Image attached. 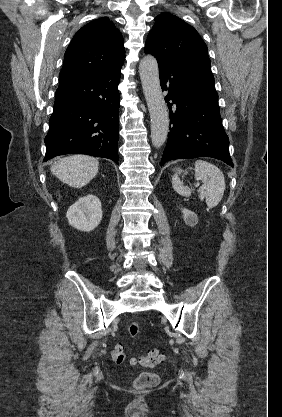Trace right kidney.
Returning <instances> with one entry per match:
<instances>
[{
  "instance_id": "right-kidney-1",
  "label": "right kidney",
  "mask_w": 282,
  "mask_h": 417,
  "mask_svg": "<svg viewBox=\"0 0 282 417\" xmlns=\"http://www.w3.org/2000/svg\"><path fill=\"white\" fill-rule=\"evenodd\" d=\"M102 204L96 194H86L69 206L66 213L69 225L78 231H93L102 221Z\"/></svg>"
}]
</instances>
